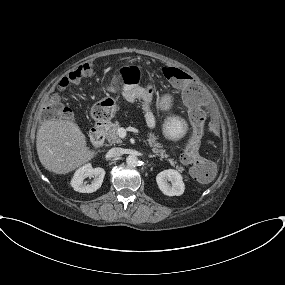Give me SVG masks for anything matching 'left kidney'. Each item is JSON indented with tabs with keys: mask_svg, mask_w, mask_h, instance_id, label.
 I'll list each match as a JSON object with an SVG mask.
<instances>
[{
	"mask_svg": "<svg viewBox=\"0 0 285 285\" xmlns=\"http://www.w3.org/2000/svg\"><path fill=\"white\" fill-rule=\"evenodd\" d=\"M156 181L159 189L167 196H180L184 192L182 176L176 170L168 169L160 172L156 176Z\"/></svg>",
	"mask_w": 285,
	"mask_h": 285,
	"instance_id": "obj_1",
	"label": "left kidney"
}]
</instances>
